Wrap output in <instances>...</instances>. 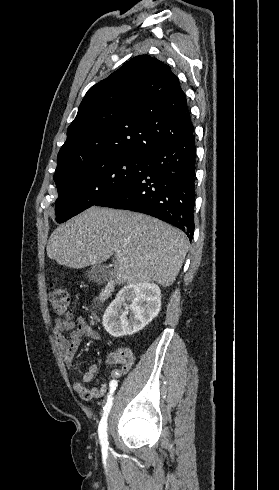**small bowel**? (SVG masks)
Returning a JSON list of instances; mask_svg holds the SVG:
<instances>
[{"instance_id": "1", "label": "small bowel", "mask_w": 279, "mask_h": 490, "mask_svg": "<svg viewBox=\"0 0 279 490\" xmlns=\"http://www.w3.org/2000/svg\"><path fill=\"white\" fill-rule=\"evenodd\" d=\"M67 333L69 334L67 335ZM52 334L62 352L68 369L75 367L74 355L84 338L93 341H99L101 339L99 332L84 317H78L76 320H54ZM107 360L110 365L117 366L108 375L107 382L92 388L87 386L98 372V366L96 364H92L81 378L73 382L74 391L82 399L101 398L109 389L116 388L121 377L132 368L135 357L130 349L119 347L108 356Z\"/></svg>"}]
</instances>
